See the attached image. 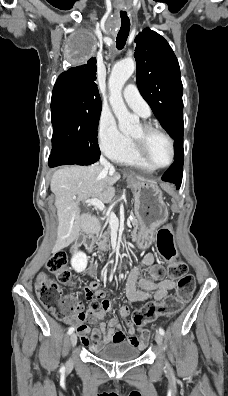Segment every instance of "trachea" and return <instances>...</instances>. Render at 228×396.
I'll list each match as a JSON object with an SVG mask.
<instances>
[{"label": "trachea", "mask_w": 228, "mask_h": 396, "mask_svg": "<svg viewBox=\"0 0 228 396\" xmlns=\"http://www.w3.org/2000/svg\"><path fill=\"white\" fill-rule=\"evenodd\" d=\"M121 27L116 39V47L118 50H122L126 44L129 31H130V20L127 12L120 11Z\"/></svg>", "instance_id": "3493384b"}]
</instances>
